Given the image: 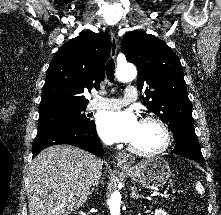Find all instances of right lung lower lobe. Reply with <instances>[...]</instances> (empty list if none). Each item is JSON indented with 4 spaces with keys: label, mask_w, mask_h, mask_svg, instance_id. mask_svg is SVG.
<instances>
[{
    "label": "right lung lower lobe",
    "mask_w": 221,
    "mask_h": 215,
    "mask_svg": "<svg viewBox=\"0 0 221 215\" xmlns=\"http://www.w3.org/2000/svg\"><path fill=\"white\" fill-rule=\"evenodd\" d=\"M57 144L73 145L98 157L104 152L93 121L85 125L68 124L38 130L34 141L33 157L46 147Z\"/></svg>",
    "instance_id": "obj_1"
}]
</instances>
